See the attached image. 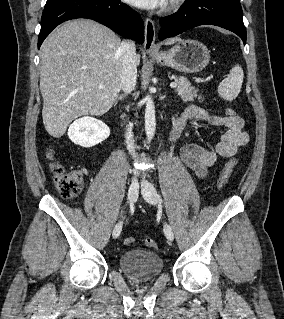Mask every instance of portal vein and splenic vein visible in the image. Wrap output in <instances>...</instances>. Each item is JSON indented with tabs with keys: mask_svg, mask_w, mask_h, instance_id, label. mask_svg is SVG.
I'll return each mask as SVG.
<instances>
[{
	"mask_svg": "<svg viewBox=\"0 0 284 319\" xmlns=\"http://www.w3.org/2000/svg\"><path fill=\"white\" fill-rule=\"evenodd\" d=\"M170 87H171V88H176V87H177V83H176V82L170 83ZM99 88H100V89L104 88V85H102V84L99 85Z\"/></svg>",
	"mask_w": 284,
	"mask_h": 319,
	"instance_id": "18ae733b",
	"label": "portal vein and splenic vein"
}]
</instances>
